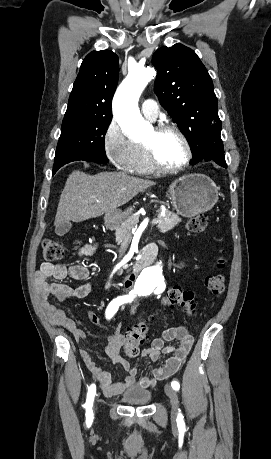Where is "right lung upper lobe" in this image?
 Returning a JSON list of instances; mask_svg holds the SVG:
<instances>
[{
    "label": "right lung upper lobe",
    "mask_w": 271,
    "mask_h": 459,
    "mask_svg": "<svg viewBox=\"0 0 271 459\" xmlns=\"http://www.w3.org/2000/svg\"><path fill=\"white\" fill-rule=\"evenodd\" d=\"M119 73L118 56L110 50L92 51L83 60L69 97L68 114L111 115Z\"/></svg>",
    "instance_id": "obj_1"
}]
</instances>
